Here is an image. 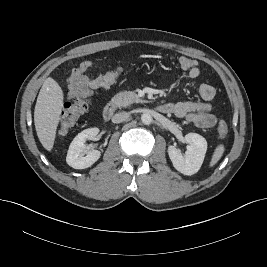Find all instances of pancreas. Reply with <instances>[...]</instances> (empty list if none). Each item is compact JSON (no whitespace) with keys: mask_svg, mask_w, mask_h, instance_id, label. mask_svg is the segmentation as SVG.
Returning a JSON list of instances; mask_svg holds the SVG:
<instances>
[{"mask_svg":"<svg viewBox=\"0 0 267 267\" xmlns=\"http://www.w3.org/2000/svg\"><path fill=\"white\" fill-rule=\"evenodd\" d=\"M111 101L119 108L127 107L135 102H143V100L140 99L139 96L132 91L119 92L111 99Z\"/></svg>","mask_w":267,"mask_h":267,"instance_id":"pancreas-1","label":"pancreas"}]
</instances>
